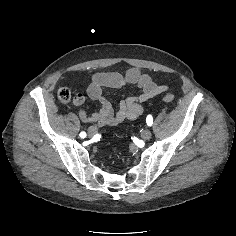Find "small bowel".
I'll use <instances>...</instances> for the list:
<instances>
[{"label": "small bowel", "instance_id": "obj_1", "mask_svg": "<svg viewBox=\"0 0 236 236\" xmlns=\"http://www.w3.org/2000/svg\"><path fill=\"white\" fill-rule=\"evenodd\" d=\"M134 85L141 90L138 96L129 97L120 102L114 111L111 102L103 95L105 88L118 89L125 85ZM168 87L156 83L139 68H130L125 74L118 72L95 73L87 87V96L101 104L99 111L88 114L84 109L85 96L77 93L73 103L78 108L79 118L85 123H96L99 126H116L126 120H134L142 115L143 104L149 99L167 91Z\"/></svg>", "mask_w": 236, "mask_h": 236}]
</instances>
